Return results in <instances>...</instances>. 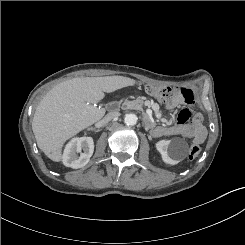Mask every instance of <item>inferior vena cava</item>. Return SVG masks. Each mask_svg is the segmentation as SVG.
Masks as SVG:
<instances>
[{
	"label": "inferior vena cava",
	"mask_w": 245,
	"mask_h": 245,
	"mask_svg": "<svg viewBox=\"0 0 245 245\" xmlns=\"http://www.w3.org/2000/svg\"><path fill=\"white\" fill-rule=\"evenodd\" d=\"M119 112H109L108 114L105 115V117L102 119L103 123H108L111 120L119 117Z\"/></svg>",
	"instance_id": "602c4592"
}]
</instances>
